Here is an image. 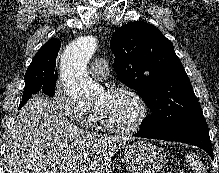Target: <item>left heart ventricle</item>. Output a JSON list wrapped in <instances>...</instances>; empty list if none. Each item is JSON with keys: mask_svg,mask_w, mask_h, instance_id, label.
I'll return each instance as SVG.
<instances>
[{"mask_svg": "<svg viewBox=\"0 0 219 173\" xmlns=\"http://www.w3.org/2000/svg\"><path fill=\"white\" fill-rule=\"evenodd\" d=\"M96 112L116 127H129L137 119L138 106L135 101L126 94H107L104 92L97 104Z\"/></svg>", "mask_w": 219, "mask_h": 173, "instance_id": "1", "label": "left heart ventricle"}]
</instances>
